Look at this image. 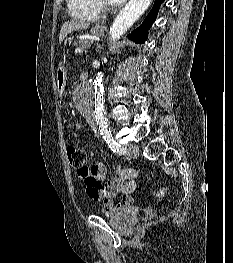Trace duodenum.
Listing matches in <instances>:
<instances>
[{
  "label": "duodenum",
  "mask_w": 233,
  "mask_h": 263,
  "mask_svg": "<svg viewBox=\"0 0 233 263\" xmlns=\"http://www.w3.org/2000/svg\"><path fill=\"white\" fill-rule=\"evenodd\" d=\"M88 73L87 72H83L82 74H81V80L82 81H86L87 79H88Z\"/></svg>",
  "instance_id": "obj_1"
}]
</instances>
